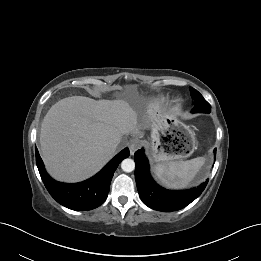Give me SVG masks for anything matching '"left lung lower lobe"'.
Masks as SVG:
<instances>
[{
    "label": "left lung lower lobe",
    "instance_id": "left-lung-lower-lobe-1",
    "mask_svg": "<svg viewBox=\"0 0 261 261\" xmlns=\"http://www.w3.org/2000/svg\"><path fill=\"white\" fill-rule=\"evenodd\" d=\"M216 154V149L214 150ZM136 164L135 179L141 200L151 209L171 212L180 210L197 197L201 195L205 189L208 180L197 188L171 191L157 185L149 174V163L143 150H137L134 154Z\"/></svg>",
    "mask_w": 261,
    "mask_h": 261
}]
</instances>
